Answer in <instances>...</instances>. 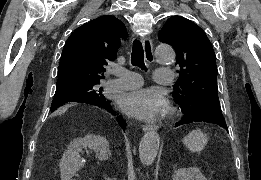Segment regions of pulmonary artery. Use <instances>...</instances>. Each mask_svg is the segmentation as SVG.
I'll return each instance as SVG.
<instances>
[{
	"label": "pulmonary artery",
	"mask_w": 261,
	"mask_h": 180,
	"mask_svg": "<svg viewBox=\"0 0 261 180\" xmlns=\"http://www.w3.org/2000/svg\"><path fill=\"white\" fill-rule=\"evenodd\" d=\"M156 77H175V72H169V67H156ZM117 78L107 82L116 89L142 88L141 76L127 69H111ZM158 83H174V78H158Z\"/></svg>",
	"instance_id": "e3ab8cb5"
}]
</instances>
